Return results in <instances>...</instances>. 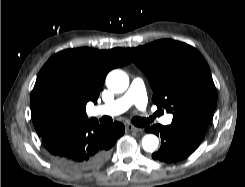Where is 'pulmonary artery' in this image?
Listing matches in <instances>:
<instances>
[{
  "mask_svg": "<svg viewBox=\"0 0 245 187\" xmlns=\"http://www.w3.org/2000/svg\"><path fill=\"white\" fill-rule=\"evenodd\" d=\"M132 105H135L139 109H144L147 105V95L144 82L139 79L135 78L127 92L120 98L116 99L115 101L103 105L95 107L92 110L94 115H119L125 111H127ZM149 118L154 121L157 119L155 114H149ZM173 116L171 114L166 115L160 119V122L167 125L170 124L172 121Z\"/></svg>",
  "mask_w": 245,
  "mask_h": 187,
  "instance_id": "e3ab8cb5",
  "label": "pulmonary artery"
}]
</instances>
